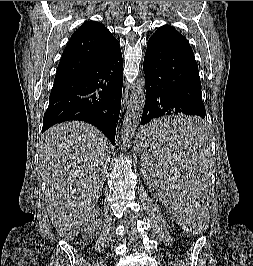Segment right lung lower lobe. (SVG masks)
Segmentation results:
<instances>
[{
  "mask_svg": "<svg viewBox=\"0 0 253 266\" xmlns=\"http://www.w3.org/2000/svg\"><path fill=\"white\" fill-rule=\"evenodd\" d=\"M122 84L121 51L105 62L54 81L42 132L60 122L80 120L97 127L114 145Z\"/></svg>",
  "mask_w": 253,
  "mask_h": 266,
  "instance_id": "98d812e1",
  "label": "right lung lower lobe"
}]
</instances>
